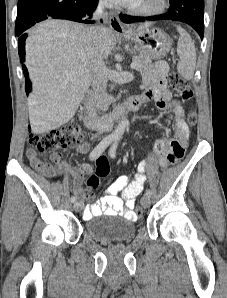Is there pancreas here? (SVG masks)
Segmentation results:
<instances>
[{
    "label": "pancreas",
    "mask_w": 227,
    "mask_h": 298,
    "mask_svg": "<svg viewBox=\"0 0 227 298\" xmlns=\"http://www.w3.org/2000/svg\"><path fill=\"white\" fill-rule=\"evenodd\" d=\"M133 60L137 62L138 66L136 68L137 71L144 73L150 70L153 67L151 58L147 55L140 53L133 57ZM114 101L111 95H106L103 99L98 101V107L101 110L108 109V106Z\"/></svg>",
    "instance_id": "cf45deb5"
}]
</instances>
